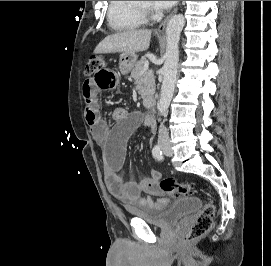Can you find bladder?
Listing matches in <instances>:
<instances>
[{"label":"bladder","instance_id":"bladder-1","mask_svg":"<svg viewBox=\"0 0 271 266\" xmlns=\"http://www.w3.org/2000/svg\"><path fill=\"white\" fill-rule=\"evenodd\" d=\"M201 206V201L196 197H186L180 199L168 207L155 212H144L139 210L130 209V214L134 218H139L148 224L167 227L179 221L185 215L195 211Z\"/></svg>","mask_w":271,"mask_h":266}]
</instances>
